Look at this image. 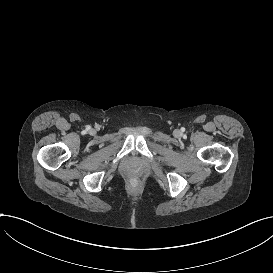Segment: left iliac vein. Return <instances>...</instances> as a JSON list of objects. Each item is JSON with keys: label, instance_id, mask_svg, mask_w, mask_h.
Instances as JSON below:
<instances>
[{"label": "left iliac vein", "instance_id": "4c4485c4", "mask_svg": "<svg viewBox=\"0 0 273 273\" xmlns=\"http://www.w3.org/2000/svg\"><path fill=\"white\" fill-rule=\"evenodd\" d=\"M175 134L178 135V134H179V131H176Z\"/></svg>", "mask_w": 273, "mask_h": 273}]
</instances>
